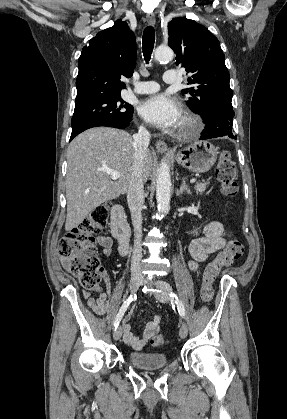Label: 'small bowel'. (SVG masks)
<instances>
[{
  "instance_id": "small-bowel-1",
  "label": "small bowel",
  "mask_w": 287,
  "mask_h": 419,
  "mask_svg": "<svg viewBox=\"0 0 287 419\" xmlns=\"http://www.w3.org/2000/svg\"><path fill=\"white\" fill-rule=\"evenodd\" d=\"M200 231L202 232L203 236L194 239L189 247V252L191 255L189 267L192 270H197L199 264L204 262L209 254L221 250L226 244L224 237L225 229L221 223H208L203 226ZM97 241L103 247L104 253L109 255L114 244L113 239L107 236H98ZM62 264L64 268L68 269L69 264L67 260H62ZM102 276L108 289L110 287L109 277L105 271H102ZM84 297L87 300V304L90 309L97 315H104L112 310V306L109 303L108 290L100 293L98 297H92L88 293H84ZM130 317L131 313H128L124 317V340L134 350H141L151 340V338L158 333L162 321V316L160 314L153 316V319L147 323L141 338L134 335L132 326L129 323Z\"/></svg>"
}]
</instances>
